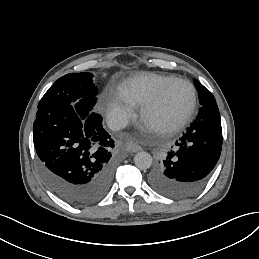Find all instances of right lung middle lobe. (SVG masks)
<instances>
[{"label":"right lung middle lobe","mask_w":259,"mask_h":259,"mask_svg":"<svg viewBox=\"0 0 259 259\" xmlns=\"http://www.w3.org/2000/svg\"><path fill=\"white\" fill-rule=\"evenodd\" d=\"M93 74L70 73L59 78L44 94L38 109L58 106H73L84 116L93 112L97 89L93 84Z\"/></svg>","instance_id":"right-lung-middle-lobe-1"}]
</instances>
